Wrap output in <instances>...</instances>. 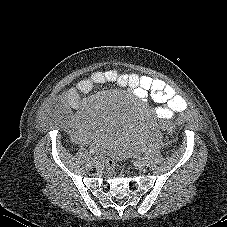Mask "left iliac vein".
<instances>
[{"instance_id":"1","label":"left iliac vein","mask_w":227,"mask_h":227,"mask_svg":"<svg viewBox=\"0 0 227 227\" xmlns=\"http://www.w3.org/2000/svg\"><path fill=\"white\" fill-rule=\"evenodd\" d=\"M137 166L139 167V168H144L145 166H146V161H145V159L144 158H138L137 159Z\"/></svg>"}]
</instances>
